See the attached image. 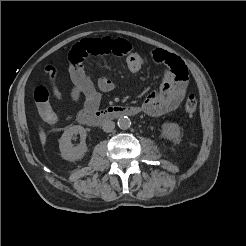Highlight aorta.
<instances>
[{"label":"aorta","instance_id":"762f6f07","mask_svg":"<svg viewBox=\"0 0 246 246\" xmlns=\"http://www.w3.org/2000/svg\"><path fill=\"white\" fill-rule=\"evenodd\" d=\"M117 124L120 129L126 130L130 128L131 121L127 116H123L118 119Z\"/></svg>","mask_w":246,"mask_h":246}]
</instances>
